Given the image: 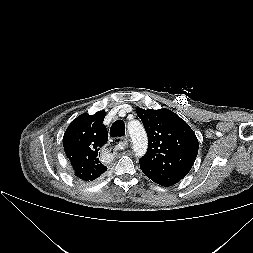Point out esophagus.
<instances>
[{
    "label": "esophagus",
    "mask_w": 253,
    "mask_h": 253,
    "mask_svg": "<svg viewBox=\"0 0 253 253\" xmlns=\"http://www.w3.org/2000/svg\"><path fill=\"white\" fill-rule=\"evenodd\" d=\"M125 144H128L130 142V138H129V135L127 134L125 137H124V141H123Z\"/></svg>",
    "instance_id": "esophagus-1"
}]
</instances>
